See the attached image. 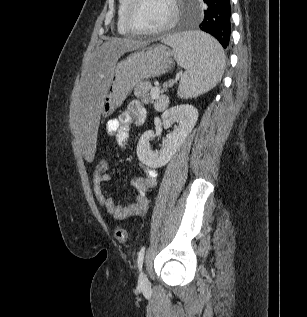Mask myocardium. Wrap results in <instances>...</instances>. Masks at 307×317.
I'll use <instances>...</instances> for the list:
<instances>
[{"label": "myocardium", "mask_w": 307, "mask_h": 317, "mask_svg": "<svg viewBox=\"0 0 307 317\" xmlns=\"http://www.w3.org/2000/svg\"><path fill=\"white\" fill-rule=\"evenodd\" d=\"M137 2V0H127V4L125 6L124 10V23L126 28L135 35H145V36H155L161 33H164L171 29L178 21L179 17V9H178V4L177 0H169L171 4V16L168 19L167 22H165L163 25L153 28V29H147V30H142L136 28L131 20V10L133 5Z\"/></svg>", "instance_id": "myocardium-1"}]
</instances>
